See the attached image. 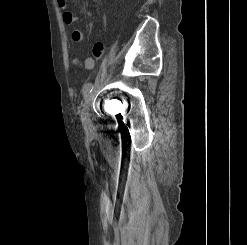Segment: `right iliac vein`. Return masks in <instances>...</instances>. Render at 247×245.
Instances as JSON below:
<instances>
[{
	"label": "right iliac vein",
	"instance_id": "right-iliac-vein-1",
	"mask_svg": "<svg viewBox=\"0 0 247 245\" xmlns=\"http://www.w3.org/2000/svg\"><path fill=\"white\" fill-rule=\"evenodd\" d=\"M94 96H95V90L91 91L85 97V102H84L82 113H81V119H82L83 125L85 127L91 126V120H90V116H89V108H90V105L93 101Z\"/></svg>",
	"mask_w": 247,
	"mask_h": 245
}]
</instances>
